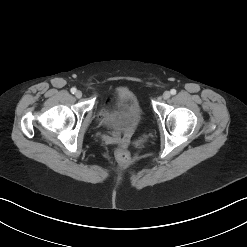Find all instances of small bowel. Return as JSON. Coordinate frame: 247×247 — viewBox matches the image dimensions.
Returning <instances> with one entry per match:
<instances>
[{"label": "small bowel", "mask_w": 247, "mask_h": 247, "mask_svg": "<svg viewBox=\"0 0 247 247\" xmlns=\"http://www.w3.org/2000/svg\"><path fill=\"white\" fill-rule=\"evenodd\" d=\"M107 111L106 106H103L99 111H98V115L99 117L103 118V115L105 114V112ZM107 140L109 142L115 143L119 141V138L116 134H111L110 137L107 138ZM126 145V143H124V146Z\"/></svg>", "instance_id": "obj_1"}]
</instances>
